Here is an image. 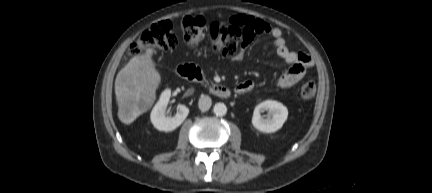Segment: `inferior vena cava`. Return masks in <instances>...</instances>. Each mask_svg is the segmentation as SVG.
<instances>
[{"mask_svg": "<svg viewBox=\"0 0 432 193\" xmlns=\"http://www.w3.org/2000/svg\"><path fill=\"white\" fill-rule=\"evenodd\" d=\"M211 105H212L211 98L206 95H201L198 102L199 109L202 111H207L211 107Z\"/></svg>", "mask_w": 432, "mask_h": 193, "instance_id": "obj_1", "label": "inferior vena cava"}]
</instances>
